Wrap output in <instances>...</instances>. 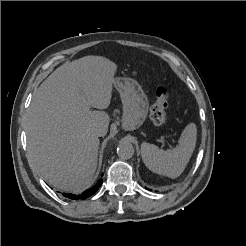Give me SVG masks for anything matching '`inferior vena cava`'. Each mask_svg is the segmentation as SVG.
I'll return each mask as SVG.
<instances>
[{
    "label": "inferior vena cava",
    "instance_id": "602c4592",
    "mask_svg": "<svg viewBox=\"0 0 246 246\" xmlns=\"http://www.w3.org/2000/svg\"><path fill=\"white\" fill-rule=\"evenodd\" d=\"M94 134L98 137H100L102 135V129L101 128H96L94 130Z\"/></svg>",
    "mask_w": 246,
    "mask_h": 246
}]
</instances>
